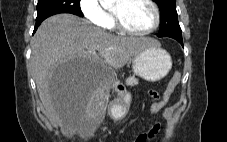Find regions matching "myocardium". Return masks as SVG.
Listing matches in <instances>:
<instances>
[{"mask_svg":"<svg viewBox=\"0 0 227 142\" xmlns=\"http://www.w3.org/2000/svg\"><path fill=\"white\" fill-rule=\"evenodd\" d=\"M146 1L150 4V6L152 7L153 12H154V22L150 28L143 30V31H137V30L130 29L129 27H127L125 25V23L123 22L121 17L116 12L112 11V18H113L115 27L123 33L129 34V35H135V36H145V35H149V34L153 33L154 31H156L157 28L159 27L160 21H161V14H160L159 6L154 0H146Z\"/></svg>","mask_w":227,"mask_h":142,"instance_id":"f54148a6","label":"myocardium"}]
</instances>
